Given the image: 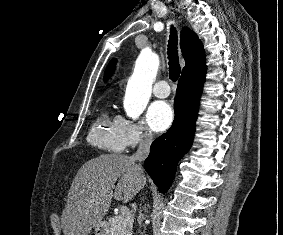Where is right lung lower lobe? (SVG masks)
Here are the masks:
<instances>
[{
  "mask_svg": "<svg viewBox=\"0 0 283 235\" xmlns=\"http://www.w3.org/2000/svg\"><path fill=\"white\" fill-rule=\"evenodd\" d=\"M205 73L180 78L174 99L175 118L169 131L150 147L144 167L160 192H166L175 176L178 161L190 149Z\"/></svg>",
  "mask_w": 283,
  "mask_h": 235,
  "instance_id": "98d812e1",
  "label": "right lung lower lobe"
}]
</instances>
